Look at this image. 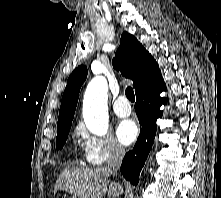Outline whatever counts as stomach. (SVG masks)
Masks as SVG:
<instances>
[{"instance_id":"1","label":"stomach","mask_w":221,"mask_h":198,"mask_svg":"<svg viewBox=\"0 0 221 198\" xmlns=\"http://www.w3.org/2000/svg\"><path fill=\"white\" fill-rule=\"evenodd\" d=\"M72 198H79V197L73 196Z\"/></svg>"}]
</instances>
